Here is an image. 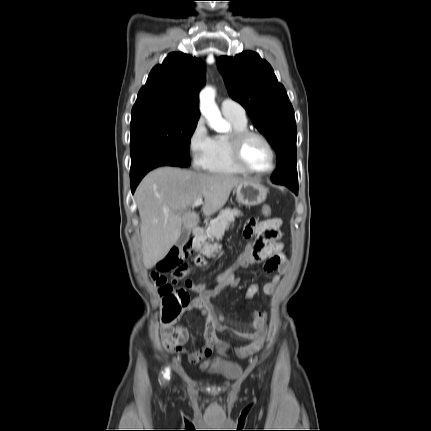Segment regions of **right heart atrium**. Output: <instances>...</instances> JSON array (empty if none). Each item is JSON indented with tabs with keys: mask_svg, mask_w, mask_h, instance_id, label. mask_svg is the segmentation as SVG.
I'll use <instances>...</instances> for the list:
<instances>
[{
	"mask_svg": "<svg viewBox=\"0 0 431 431\" xmlns=\"http://www.w3.org/2000/svg\"><path fill=\"white\" fill-rule=\"evenodd\" d=\"M192 166L197 170H207L213 155L214 138L208 132L203 119H198L187 139Z\"/></svg>",
	"mask_w": 431,
	"mask_h": 431,
	"instance_id": "right-heart-atrium-1",
	"label": "right heart atrium"
}]
</instances>
